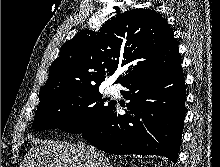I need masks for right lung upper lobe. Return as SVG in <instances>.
Returning a JSON list of instances; mask_svg holds the SVG:
<instances>
[{"instance_id": "1", "label": "right lung upper lobe", "mask_w": 220, "mask_h": 167, "mask_svg": "<svg viewBox=\"0 0 220 167\" xmlns=\"http://www.w3.org/2000/svg\"><path fill=\"white\" fill-rule=\"evenodd\" d=\"M40 102L65 90L95 87L118 68L128 69L115 83L150 72L172 69L181 63L173 29L151 9H133L107 21L100 30H83L60 49Z\"/></svg>"}]
</instances>
